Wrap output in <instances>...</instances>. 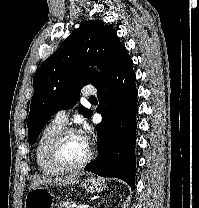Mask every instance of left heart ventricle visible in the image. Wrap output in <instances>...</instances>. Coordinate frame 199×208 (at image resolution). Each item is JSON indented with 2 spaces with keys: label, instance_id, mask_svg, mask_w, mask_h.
<instances>
[{
  "label": "left heart ventricle",
  "instance_id": "left-heart-ventricle-1",
  "mask_svg": "<svg viewBox=\"0 0 199 208\" xmlns=\"http://www.w3.org/2000/svg\"><path fill=\"white\" fill-rule=\"evenodd\" d=\"M87 153L88 143L79 133L69 135L61 145L60 154L67 164L79 163Z\"/></svg>",
  "mask_w": 199,
  "mask_h": 208
}]
</instances>
